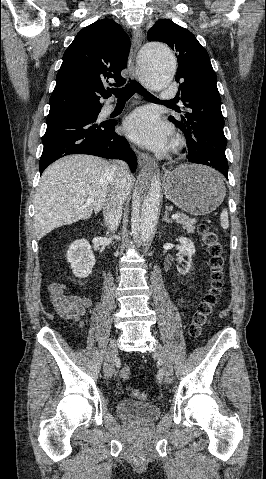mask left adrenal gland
Wrapping results in <instances>:
<instances>
[{
  "label": "left adrenal gland",
  "instance_id": "a2214340",
  "mask_svg": "<svg viewBox=\"0 0 266 479\" xmlns=\"http://www.w3.org/2000/svg\"><path fill=\"white\" fill-rule=\"evenodd\" d=\"M162 221H164L166 223H172V220H170L169 217H168V212L167 211H165V215L162 218Z\"/></svg>",
  "mask_w": 266,
  "mask_h": 479
}]
</instances>
